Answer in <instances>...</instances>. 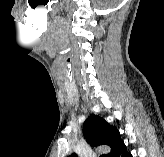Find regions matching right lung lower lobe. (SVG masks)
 <instances>
[{
  "instance_id": "right-lung-lower-lobe-1",
  "label": "right lung lower lobe",
  "mask_w": 164,
  "mask_h": 157,
  "mask_svg": "<svg viewBox=\"0 0 164 157\" xmlns=\"http://www.w3.org/2000/svg\"><path fill=\"white\" fill-rule=\"evenodd\" d=\"M113 157H133L130 152L127 151L125 144L119 146V148L114 153Z\"/></svg>"
}]
</instances>
